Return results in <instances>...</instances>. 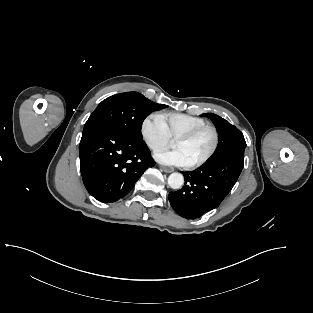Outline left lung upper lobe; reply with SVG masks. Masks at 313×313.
<instances>
[{
	"mask_svg": "<svg viewBox=\"0 0 313 313\" xmlns=\"http://www.w3.org/2000/svg\"><path fill=\"white\" fill-rule=\"evenodd\" d=\"M202 116L210 118L219 133V143L211 159L233 151L245 150L246 142L244 136L235 126L213 113H204Z\"/></svg>",
	"mask_w": 313,
	"mask_h": 313,
	"instance_id": "5c2ea615",
	"label": "left lung upper lobe"
}]
</instances>
